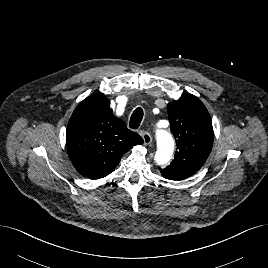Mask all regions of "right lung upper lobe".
<instances>
[{"label": "right lung upper lobe", "instance_id": "cb5924a9", "mask_svg": "<svg viewBox=\"0 0 268 268\" xmlns=\"http://www.w3.org/2000/svg\"><path fill=\"white\" fill-rule=\"evenodd\" d=\"M69 158L76 170L90 179L107 176L133 146L143 143L115 117L108 98L97 93L83 100L73 112L67 127Z\"/></svg>", "mask_w": 268, "mask_h": 268}]
</instances>
